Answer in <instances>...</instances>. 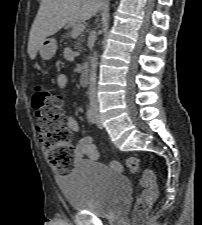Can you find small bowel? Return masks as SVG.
Listing matches in <instances>:
<instances>
[{
    "label": "small bowel",
    "mask_w": 202,
    "mask_h": 225,
    "mask_svg": "<svg viewBox=\"0 0 202 225\" xmlns=\"http://www.w3.org/2000/svg\"><path fill=\"white\" fill-rule=\"evenodd\" d=\"M69 76L65 73H61L57 77V86L60 89H64L68 84ZM67 126L72 133L78 132L80 129L79 122L75 117L67 118ZM77 156L79 158H87L91 160H97L99 154L92 144L91 137H83L77 144Z\"/></svg>",
    "instance_id": "c3829d8e"
}]
</instances>
